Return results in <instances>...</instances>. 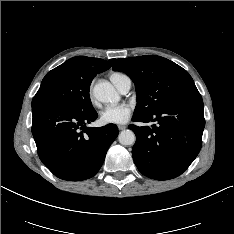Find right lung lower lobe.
I'll use <instances>...</instances> for the list:
<instances>
[{"instance_id":"obj_1","label":"right lung lower lobe","mask_w":234,"mask_h":234,"mask_svg":"<svg viewBox=\"0 0 234 234\" xmlns=\"http://www.w3.org/2000/svg\"><path fill=\"white\" fill-rule=\"evenodd\" d=\"M32 134L43 164L58 178L80 181L101 168L108 148L118 136L114 124L86 127L97 112L73 111L57 105L32 107Z\"/></svg>"}]
</instances>
